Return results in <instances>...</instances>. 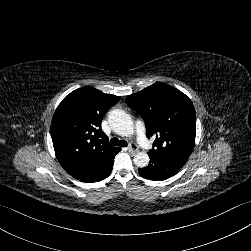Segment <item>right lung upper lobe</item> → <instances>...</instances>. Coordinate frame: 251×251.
I'll return each instance as SVG.
<instances>
[{"mask_svg":"<svg viewBox=\"0 0 251 251\" xmlns=\"http://www.w3.org/2000/svg\"><path fill=\"white\" fill-rule=\"evenodd\" d=\"M119 100L86 86L68 94L57 107L51 122L53 146L61 166L74 178L98 182L112 168L121 149L109 146L101 121Z\"/></svg>","mask_w":251,"mask_h":251,"instance_id":"1","label":"right lung upper lobe"}]
</instances>
